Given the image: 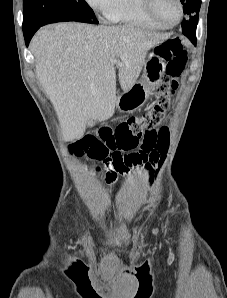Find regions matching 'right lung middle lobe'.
I'll return each instance as SVG.
<instances>
[{
    "mask_svg": "<svg viewBox=\"0 0 227 298\" xmlns=\"http://www.w3.org/2000/svg\"><path fill=\"white\" fill-rule=\"evenodd\" d=\"M60 21L98 23L85 0H23V33Z\"/></svg>",
    "mask_w": 227,
    "mask_h": 298,
    "instance_id": "1",
    "label": "right lung middle lobe"
}]
</instances>
